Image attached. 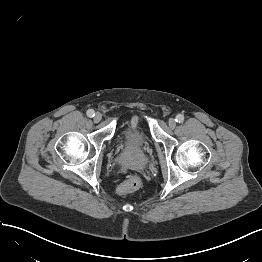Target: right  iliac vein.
Wrapping results in <instances>:
<instances>
[{
  "mask_svg": "<svg viewBox=\"0 0 262 262\" xmlns=\"http://www.w3.org/2000/svg\"><path fill=\"white\" fill-rule=\"evenodd\" d=\"M93 119H94V121H95L96 123L100 122L101 119H102V115H101V113H99V112L95 113Z\"/></svg>",
  "mask_w": 262,
  "mask_h": 262,
  "instance_id": "63e3f726",
  "label": "right iliac vein"
}]
</instances>
